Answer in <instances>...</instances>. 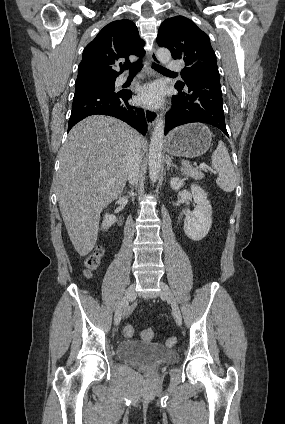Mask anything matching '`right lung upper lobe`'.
Listing matches in <instances>:
<instances>
[{
	"label": "right lung upper lobe",
	"instance_id": "right-lung-upper-lobe-1",
	"mask_svg": "<svg viewBox=\"0 0 285 424\" xmlns=\"http://www.w3.org/2000/svg\"><path fill=\"white\" fill-rule=\"evenodd\" d=\"M144 44L132 21L123 19L109 23L85 47L76 84L116 80L123 72L122 68L119 72L115 69L121 64L119 60L129 63V55L143 56Z\"/></svg>",
	"mask_w": 285,
	"mask_h": 424
}]
</instances>
